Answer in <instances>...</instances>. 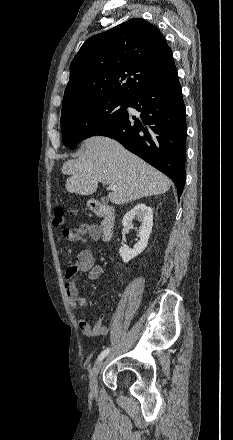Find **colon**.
<instances>
[{"label":"colon","instance_id":"colon-1","mask_svg":"<svg viewBox=\"0 0 233 440\" xmlns=\"http://www.w3.org/2000/svg\"><path fill=\"white\" fill-rule=\"evenodd\" d=\"M66 223L64 209L56 206L53 210V225L56 227H64Z\"/></svg>","mask_w":233,"mask_h":440}]
</instances>
